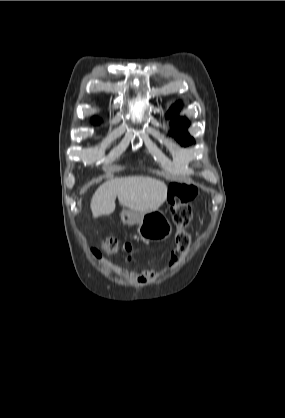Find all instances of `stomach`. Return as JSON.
<instances>
[{"label": "stomach", "mask_w": 285, "mask_h": 418, "mask_svg": "<svg viewBox=\"0 0 285 418\" xmlns=\"http://www.w3.org/2000/svg\"><path fill=\"white\" fill-rule=\"evenodd\" d=\"M121 220L124 224H138V233L145 241L162 240L167 238L171 232V225L165 214L160 210L137 215L129 210L121 212Z\"/></svg>", "instance_id": "stomach-1"}]
</instances>
